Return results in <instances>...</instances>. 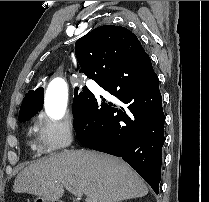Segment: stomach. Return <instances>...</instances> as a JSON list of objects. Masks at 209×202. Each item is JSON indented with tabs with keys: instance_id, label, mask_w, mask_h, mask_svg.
Instances as JSON below:
<instances>
[{
	"instance_id": "obj_1",
	"label": "stomach",
	"mask_w": 209,
	"mask_h": 202,
	"mask_svg": "<svg viewBox=\"0 0 209 202\" xmlns=\"http://www.w3.org/2000/svg\"><path fill=\"white\" fill-rule=\"evenodd\" d=\"M33 202H59L58 200L48 199L45 197H39L37 196Z\"/></svg>"
}]
</instances>
